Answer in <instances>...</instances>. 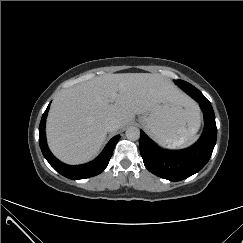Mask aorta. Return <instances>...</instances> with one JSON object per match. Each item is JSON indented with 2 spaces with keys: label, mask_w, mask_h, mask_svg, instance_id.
<instances>
[{
  "label": "aorta",
  "mask_w": 243,
  "mask_h": 243,
  "mask_svg": "<svg viewBox=\"0 0 243 243\" xmlns=\"http://www.w3.org/2000/svg\"><path fill=\"white\" fill-rule=\"evenodd\" d=\"M126 137L129 140L136 141L140 138V130L137 127H129L126 132Z\"/></svg>",
  "instance_id": "obj_1"
}]
</instances>
